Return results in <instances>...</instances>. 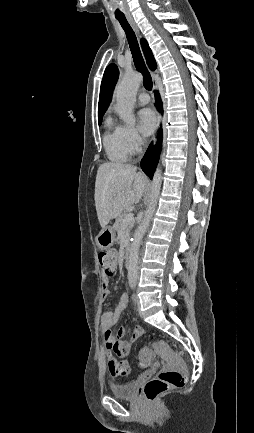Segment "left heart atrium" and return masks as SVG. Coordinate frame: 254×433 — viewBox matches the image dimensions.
Masks as SVG:
<instances>
[{"instance_id": "1", "label": "left heart atrium", "mask_w": 254, "mask_h": 433, "mask_svg": "<svg viewBox=\"0 0 254 433\" xmlns=\"http://www.w3.org/2000/svg\"><path fill=\"white\" fill-rule=\"evenodd\" d=\"M139 128L144 135H150L156 124L155 113L149 109H142L139 114Z\"/></svg>"}]
</instances>
